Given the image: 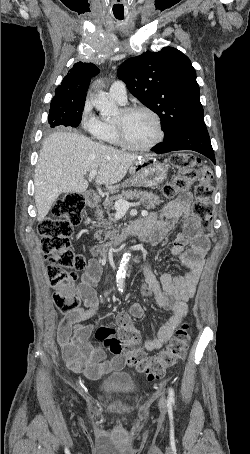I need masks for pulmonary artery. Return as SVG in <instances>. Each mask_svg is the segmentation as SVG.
Listing matches in <instances>:
<instances>
[{"label":"pulmonary artery","instance_id":"e3ab8cb5","mask_svg":"<svg viewBox=\"0 0 250 454\" xmlns=\"http://www.w3.org/2000/svg\"><path fill=\"white\" fill-rule=\"evenodd\" d=\"M109 95L119 103H125L127 100V90L125 84L120 80L114 81L109 88Z\"/></svg>","mask_w":250,"mask_h":454}]
</instances>
